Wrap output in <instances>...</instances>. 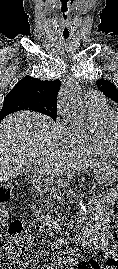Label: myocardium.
<instances>
[{
  "instance_id": "obj_1",
  "label": "myocardium",
  "mask_w": 118,
  "mask_h": 269,
  "mask_svg": "<svg viewBox=\"0 0 118 269\" xmlns=\"http://www.w3.org/2000/svg\"><path fill=\"white\" fill-rule=\"evenodd\" d=\"M118 126V113H115L110 119L104 123L105 135L112 147V149L118 154V142L115 139V130Z\"/></svg>"
}]
</instances>
